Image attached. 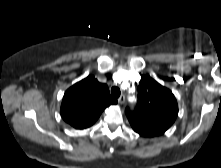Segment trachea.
Listing matches in <instances>:
<instances>
[{"label":"trachea","instance_id":"3493384b","mask_svg":"<svg viewBox=\"0 0 221 168\" xmlns=\"http://www.w3.org/2000/svg\"><path fill=\"white\" fill-rule=\"evenodd\" d=\"M111 94L113 97L118 98L120 96V89L116 86L112 87Z\"/></svg>","mask_w":221,"mask_h":168}]
</instances>
